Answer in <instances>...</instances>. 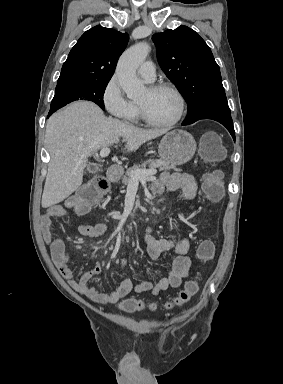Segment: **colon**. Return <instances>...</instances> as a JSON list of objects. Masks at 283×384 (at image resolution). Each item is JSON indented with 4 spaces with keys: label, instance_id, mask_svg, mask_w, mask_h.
Wrapping results in <instances>:
<instances>
[{
    "label": "colon",
    "instance_id": "5ec220e1",
    "mask_svg": "<svg viewBox=\"0 0 283 384\" xmlns=\"http://www.w3.org/2000/svg\"><path fill=\"white\" fill-rule=\"evenodd\" d=\"M200 153L204 162L214 163L220 161L224 156V148L221 138L216 132H207L203 135L200 144ZM202 189L206 196L213 202L219 201L224 194L223 177L221 172L214 170L206 173L202 178ZM108 190V182L101 177L94 178L85 183L68 201L67 204L77 213H85L92 206L97 205ZM215 254V246L212 241H202L197 249L198 259L206 263ZM199 289L198 278L195 277L186 282L178 296L166 304L167 308L181 306L187 303ZM146 307L141 300L129 298L121 302L120 309L125 312L141 311ZM154 309V305H150Z\"/></svg>",
    "mask_w": 283,
    "mask_h": 384
}]
</instances>
